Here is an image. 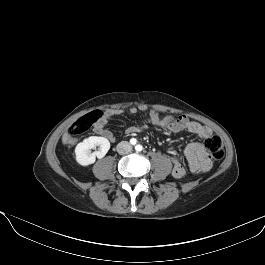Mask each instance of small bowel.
<instances>
[{
    "mask_svg": "<svg viewBox=\"0 0 265 265\" xmlns=\"http://www.w3.org/2000/svg\"><path fill=\"white\" fill-rule=\"evenodd\" d=\"M145 111V107H133L129 110L130 114L135 115L139 112ZM121 109H109L105 112L104 116L95 124L94 131L96 134L106 138L107 140H114L113 133L106 128L107 124L115 117L122 114ZM178 120L174 122L160 121L153 123L155 126H160L168 129L172 132H178L181 130H187L196 134L198 137L206 139L212 135V129L201 123L190 120L185 116H177ZM146 129L145 125L138 127H129L126 129V134L131 135L136 132H140ZM185 158L188 162L189 168L193 173L201 174L210 170L212 162L208 156L203 143L192 142L189 143L184 150ZM171 163L173 165L172 173L176 178H181L185 174V168L180 158L176 156L171 157Z\"/></svg>",
    "mask_w": 265,
    "mask_h": 265,
    "instance_id": "c3829d8e",
    "label": "small bowel"
}]
</instances>
